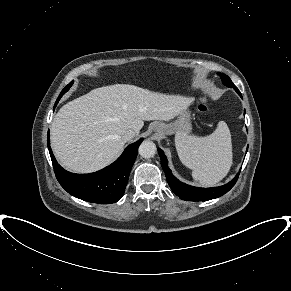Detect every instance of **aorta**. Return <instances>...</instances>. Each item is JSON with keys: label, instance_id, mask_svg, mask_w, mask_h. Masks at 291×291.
Returning <instances> with one entry per match:
<instances>
[{"label": "aorta", "instance_id": "762f6f07", "mask_svg": "<svg viewBox=\"0 0 291 291\" xmlns=\"http://www.w3.org/2000/svg\"><path fill=\"white\" fill-rule=\"evenodd\" d=\"M156 145L154 142L146 140L141 143L139 147V154L143 158H151L156 154Z\"/></svg>", "mask_w": 291, "mask_h": 291}]
</instances>
